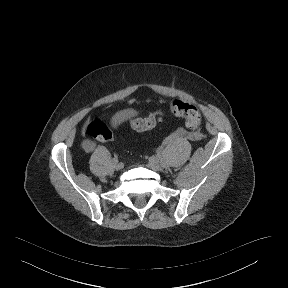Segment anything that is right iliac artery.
<instances>
[{
	"instance_id": "1",
	"label": "right iliac artery",
	"mask_w": 288,
	"mask_h": 288,
	"mask_svg": "<svg viewBox=\"0 0 288 288\" xmlns=\"http://www.w3.org/2000/svg\"><path fill=\"white\" fill-rule=\"evenodd\" d=\"M113 161H118V157L116 155H114Z\"/></svg>"
}]
</instances>
